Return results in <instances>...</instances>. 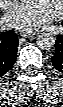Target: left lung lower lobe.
Returning <instances> with one entry per match:
<instances>
[{
	"label": "left lung lower lobe",
	"mask_w": 63,
	"mask_h": 107,
	"mask_svg": "<svg viewBox=\"0 0 63 107\" xmlns=\"http://www.w3.org/2000/svg\"><path fill=\"white\" fill-rule=\"evenodd\" d=\"M56 53L52 57V64L55 69L63 73V35H59L55 44Z\"/></svg>",
	"instance_id": "left-lung-lower-lobe-1"
}]
</instances>
